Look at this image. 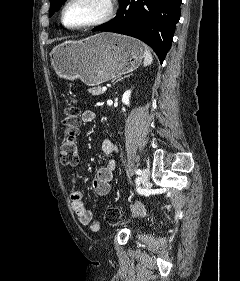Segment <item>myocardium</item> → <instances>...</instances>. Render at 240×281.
Listing matches in <instances>:
<instances>
[{
  "mask_svg": "<svg viewBox=\"0 0 240 281\" xmlns=\"http://www.w3.org/2000/svg\"><path fill=\"white\" fill-rule=\"evenodd\" d=\"M74 0H67L62 9H61V13H60V21L62 23V25L70 30H80V29H86V28H91V27H96L99 25H102L106 22H108L114 15L115 12V4H114V0H105V4H106V9L104 11V13L97 19L90 21L88 23L85 24H81V25H76V26H69L66 24L65 20H64V16H65V12L68 8V6L73 2Z\"/></svg>",
  "mask_w": 240,
  "mask_h": 281,
  "instance_id": "f54148a6",
  "label": "myocardium"
}]
</instances>
